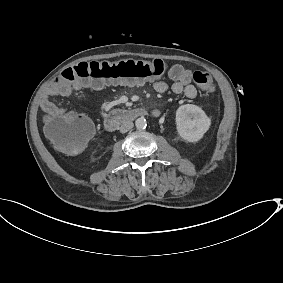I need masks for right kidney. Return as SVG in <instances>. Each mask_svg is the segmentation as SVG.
Masks as SVG:
<instances>
[{
    "mask_svg": "<svg viewBox=\"0 0 283 283\" xmlns=\"http://www.w3.org/2000/svg\"><path fill=\"white\" fill-rule=\"evenodd\" d=\"M90 162H94V160H93V158H92V157L90 158Z\"/></svg>",
    "mask_w": 283,
    "mask_h": 283,
    "instance_id": "obj_1",
    "label": "right kidney"
}]
</instances>
